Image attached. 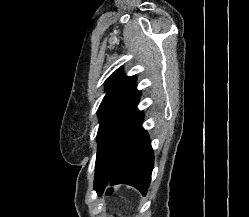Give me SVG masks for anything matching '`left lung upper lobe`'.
I'll return each mask as SVG.
<instances>
[{
  "label": "left lung upper lobe",
  "instance_id": "5c2ea615",
  "mask_svg": "<svg viewBox=\"0 0 249 217\" xmlns=\"http://www.w3.org/2000/svg\"><path fill=\"white\" fill-rule=\"evenodd\" d=\"M105 85L107 93L98 109L96 168L102 167L109 173L114 165L120 126L136 108L140 92L136 89L135 76H124L121 69L116 70Z\"/></svg>",
  "mask_w": 249,
  "mask_h": 217
}]
</instances>
